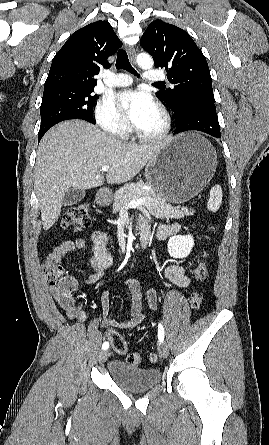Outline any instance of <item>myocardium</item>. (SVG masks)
Here are the masks:
<instances>
[{"mask_svg": "<svg viewBox=\"0 0 269 445\" xmlns=\"http://www.w3.org/2000/svg\"><path fill=\"white\" fill-rule=\"evenodd\" d=\"M158 112L160 113L162 117V127L159 131L148 134L141 132L137 127H134V133L135 135L142 141H156L165 138L171 129V117L168 113V111L162 106V105H156Z\"/></svg>", "mask_w": 269, "mask_h": 445, "instance_id": "1", "label": "myocardium"}]
</instances>
